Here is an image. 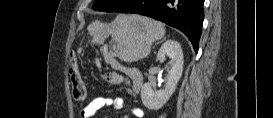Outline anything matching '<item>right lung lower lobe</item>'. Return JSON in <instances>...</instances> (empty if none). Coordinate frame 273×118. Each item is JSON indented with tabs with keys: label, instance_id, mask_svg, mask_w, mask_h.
I'll return each mask as SVG.
<instances>
[{
	"label": "right lung lower lobe",
	"instance_id": "right-lung-lower-lobe-1",
	"mask_svg": "<svg viewBox=\"0 0 273 118\" xmlns=\"http://www.w3.org/2000/svg\"><path fill=\"white\" fill-rule=\"evenodd\" d=\"M204 0H130L116 12L146 15L178 28L198 51Z\"/></svg>",
	"mask_w": 273,
	"mask_h": 118
}]
</instances>
